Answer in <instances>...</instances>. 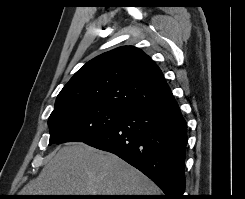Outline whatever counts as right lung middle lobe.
I'll return each instance as SVG.
<instances>
[{"instance_id": "right-lung-middle-lobe-1", "label": "right lung middle lobe", "mask_w": 245, "mask_h": 199, "mask_svg": "<svg viewBox=\"0 0 245 199\" xmlns=\"http://www.w3.org/2000/svg\"><path fill=\"white\" fill-rule=\"evenodd\" d=\"M129 112L99 104H78L55 110L49 117L53 143L85 142L119 123Z\"/></svg>"}]
</instances>
